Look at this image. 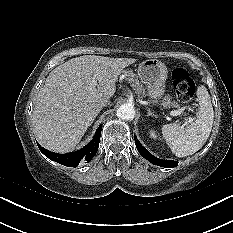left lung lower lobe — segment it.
<instances>
[{"label": "left lung lower lobe", "instance_id": "left-lung-lower-lobe-1", "mask_svg": "<svg viewBox=\"0 0 233 233\" xmlns=\"http://www.w3.org/2000/svg\"><path fill=\"white\" fill-rule=\"evenodd\" d=\"M135 138V144L137 147V150L139 151V153L148 161H150L152 164L154 165H158L161 167H165V168H172V167H176L178 165V162L176 161H172V160H162L159 158L154 157L152 154H150L141 144L140 142L137 140L136 136L134 135Z\"/></svg>", "mask_w": 233, "mask_h": 233}]
</instances>
